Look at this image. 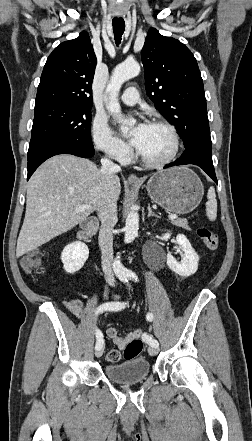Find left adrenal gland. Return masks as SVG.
Wrapping results in <instances>:
<instances>
[{
    "mask_svg": "<svg viewBox=\"0 0 252 441\" xmlns=\"http://www.w3.org/2000/svg\"><path fill=\"white\" fill-rule=\"evenodd\" d=\"M147 217H148V218H150V217L160 218L158 215H156V214L152 211V208H151L150 206H148V215H147Z\"/></svg>",
    "mask_w": 252,
    "mask_h": 441,
    "instance_id": "left-adrenal-gland-1",
    "label": "left adrenal gland"
}]
</instances>
